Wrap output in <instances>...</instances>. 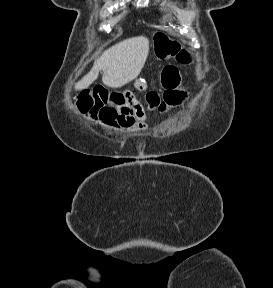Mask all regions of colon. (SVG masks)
<instances>
[{"mask_svg":"<svg viewBox=\"0 0 273 288\" xmlns=\"http://www.w3.org/2000/svg\"><path fill=\"white\" fill-rule=\"evenodd\" d=\"M157 56L161 59H174L181 64L191 62V54L176 41L163 34L155 39ZM164 88L162 94L148 93L146 101L151 110L161 113L184 105L188 100L187 91L181 86V76L175 66H166L161 73ZM77 107L92 120L113 127H130L137 120L138 106L132 105L123 94L111 92L103 86L79 96Z\"/></svg>","mask_w":273,"mask_h":288,"instance_id":"colon-1","label":"colon"}]
</instances>
